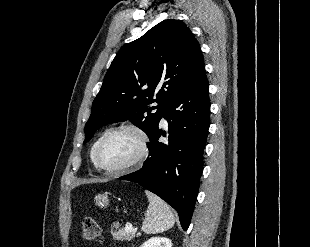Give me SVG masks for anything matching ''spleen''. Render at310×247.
Wrapping results in <instances>:
<instances>
[{
    "mask_svg": "<svg viewBox=\"0 0 310 247\" xmlns=\"http://www.w3.org/2000/svg\"><path fill=\"white\" fill-rule=\"evenodd\" d=\"M145 194L149 205L142 224V231L146 234H157L172 228L175 219L168 204L149 191H145Z\"/></svg>",
    "mask_w": 310,
    "mask_h": 247,
    "instance_id": "3e777b00",
    "label": "spleen"
}]
</instances>
